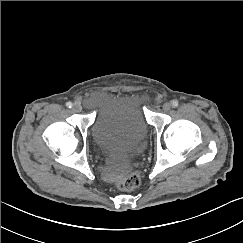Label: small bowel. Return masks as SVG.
<instances>
[{
  "label": "small bowel",
  "instance_id": "obj_1",
  "mask_svg": "<svg viewBox=\"0 0 243 243\" xmlns=\"http://www.w3.org/2000/svg\"><path fill=\"white\" fill-rule=\"evenodd\" d=\"M108 99V96L105 94H97L95 96L92 97V102L93 103H101L104 102Z\"/></svg>",
  "mask_w": 243,
  "mask_h": 243
}]
</instances>
